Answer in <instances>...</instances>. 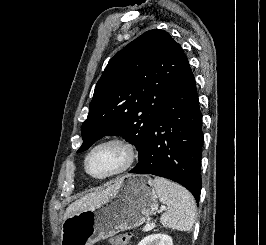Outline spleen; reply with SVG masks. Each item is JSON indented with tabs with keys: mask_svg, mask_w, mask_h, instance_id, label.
Listing matches in <instances>:
<instances>
[{
	"mask_svg": "<svg viewBox=\"0 0 266 245\" xmlns=\"http://www.w3.org/2000/svg\"><path fill=\"white\" fill-rule=\"evenodd\" d=\"M154 187L161 203L168 205V211L160 217L163 227L176 231H191L196 211V203L191 193L162 177H155Z\"/></svg>",
	"mask_w": 266,
	"mask_h": 245,
	"instance_id": "1",
	"label": "spleen"
}]
</instances>
